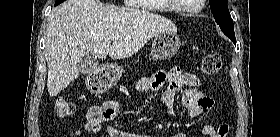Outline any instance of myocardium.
Instances as JSON below:
<instances>
[{"label": "myocardium", "mask_w": 280, "mask_h": 137, "mask_svg": "<svg viewBox=\"0 0 280 137\" xmlns=\"http://www.w3.org/2000/svg\"><path fill=\"white\" fill-rule=\"evenodd\" d=\"M199 2H200V6L198 8H195V9H183L182 10V9H178V6H173V8L176 9V10L187 12V13H199L202 9L204 0H199Z\"/></svg>", "instance_id": "f54148a6"}]
</instances>
